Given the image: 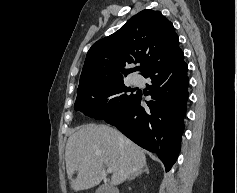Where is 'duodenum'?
Listing matches in <instances>:
<instances>
[{
    "label": "duodenum",
    "instance_id": "duodenum-1",
    "mask_svg": "<svg viewBox=\"0 0 237 193\" xmlns=\"http://www.w3.org/2000/svg\"><path fill=\"white\" fill-rule=\"evenodd\" d=\"M109 193H117V191H115V190H111Z\"/></svg>",
    "mask_w": 237,
    "mask_h": 193
}]
</instances>
